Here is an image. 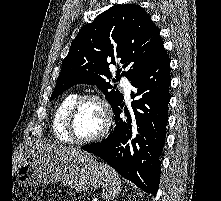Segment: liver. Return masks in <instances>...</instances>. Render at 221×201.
<instances>
[{"label":"liver","mask_w":221,"mask_h":201,"mask_svg":"<svg viewBox=\"0 0 221 201\" xmlns=\"http://www.w3.org/2000/svg\"><path fill=\"white\" fill-rule=\"evenodd\" d=\"M39 149L40 150H47V151H55V152H60V153H70V152L79 151L78 149L68 148L66 146H62L59 144L42 145Z\"/></svg>","instance_id":"liver-1"}]
</instances>
